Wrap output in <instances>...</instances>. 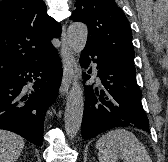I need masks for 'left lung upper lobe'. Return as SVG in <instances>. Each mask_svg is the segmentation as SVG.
Instances as JSON below:
<instances>
[{
  "instance_id": "5c2ea615",
  "label": "left lung upper lobe",
  "mask_w": 168,
  "mask_h": 162,
  "mask_svg": "<svg viewBox=\"0 0 168 162\" xmlns=\"http://www.w3.org/2000/svg\"><path fill=\"white\" fill-rule=\"evenodd\" d=\"M70 19L87 25L86 46L98 49L135 70L132 31L124 12L114 0H78Z\"/></svg>"
}]
</instances>
